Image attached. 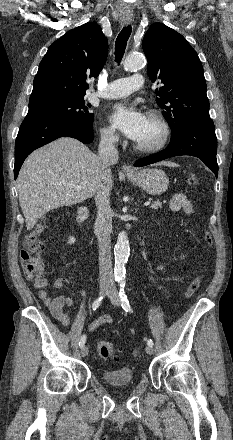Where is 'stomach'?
<instances>
[{
    "mask_svg": "<svg viewBox=\"0 0 233 440\" xmlns=\"http://www.w3.org/2000/svg\"><path fill=\"white\" fill-rule=\"evenodd\" d=\"M135 185L150 195H160L169 187V179L161 169L146 168L139 170L136 175H126Z\"/></svg>",
    "mask_w": 233,
    "mask_h": 440,
    "instance_id": "0dacf381",
    "label": "stomach"
}]
</instances>
